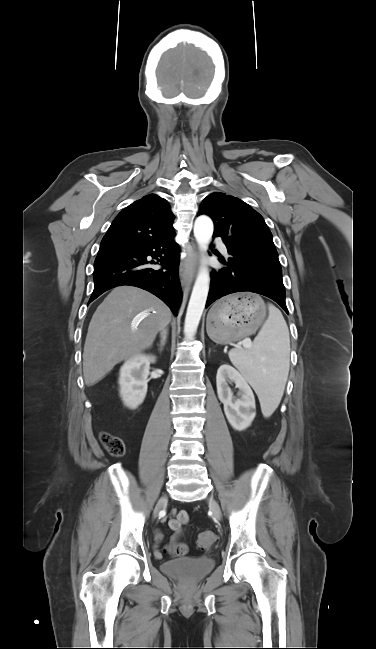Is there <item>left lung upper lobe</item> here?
<instances>
[{
	"label": "left lung upper lobe",
	"mask_w": 376,
	"mask_h": 649,
	"mask_svg": "<svg viewBox=\"0 0 376 649\" xmlns=\"http://www.w3.org/2000/svg\"><path fill=\"white\" fill-rule=\"evenodd\" d=\"M206 214L214 222V234L238 249L280 265L272 233L263 217L242 200L221 192L208 195L198 215Z\"/></svg>",
	"instance_id": "1"
}]
</instances>
